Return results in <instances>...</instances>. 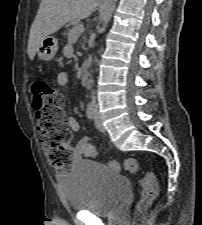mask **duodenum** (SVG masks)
Wrapping results in <instances>:
<instances>
[{"mask_svg":"<svg viewBox=\"0 0 202 225\" xmlns=\"http://www.w3.org/2000/svg\"><path fill=\"white\" fill-rule=\"evenodd\" d=\"M81 81L87 84L89 81V63L84 62L81 66Z\"/></svg>","mask_w":202,"mask_h":225,"instance_id":"obj_1","label":"duodenum"}]
</instances>
